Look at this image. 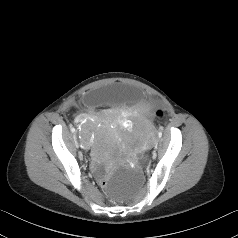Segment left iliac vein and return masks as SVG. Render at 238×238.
<instances>
[{"label":"left iliac vein","mask_w":238,"mask_h":238,"mask_svg":"<svg viewBox=\"0 0 238 238\" xmlns=\"http://www.w3.org/2000/svg\"><path fill=\"white\" fill-rule=\"evenodd\" d=\"M158 141H159V139L158 138H156ZM158 150V143L155 145V148H154V151H157Z\"/></svg>","instance_id":"1"}]
</instances>
